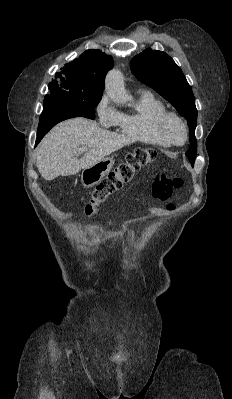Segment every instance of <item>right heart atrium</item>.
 <instances>
[{
    "instance_id": "obj_1",
    "label": "right heart atrium",
    "mask_w": 232,
    "mask_h": 399,
    "mask_svg": "<svg viewBox=\"0 0 232 399\" xmlns=\"http://www.w3.org/2000/svg\"><path fill=\"white\" fill-rule=\"evenodd\" d=\"M96 113L100 125L106 128L116 125L120 117V114L109 105L107 99L102 100L96 107Z\"/></svg>"
}]
</instances>
